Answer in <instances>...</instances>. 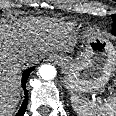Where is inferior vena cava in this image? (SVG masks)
I'll use <instances>...</instances> for the list:
<instances>
[{"mask_svg":"<svg viewBox=\"0 0 116 116\" xmlns=\"http://www.w3.org/2000/svg\"><path fill=\"white\" fill-rule=\"evenodd\" d=\"M29 60H31L29 58V55H22L20 58H19V64H25L27 63Z\"/></svg>","mask_w":116,"mask_h":116,"instance_id":"1","label":"inferior vena cava"}]
</instances>
